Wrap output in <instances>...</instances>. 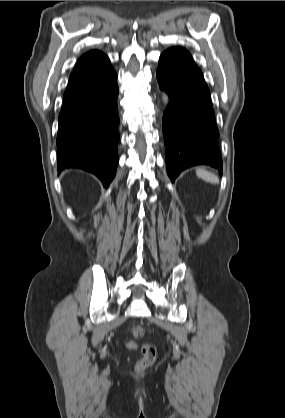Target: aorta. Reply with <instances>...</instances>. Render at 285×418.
Listing matches in <instances>:
<instances>
[{
  "label": "aorta",
  "mask_w": 285,
  "mask_h": 418,
  "mask_svg": "<svg viewBox=\"0 0 285 418\" xmlns=\"http://www.w3.org/2000/svg\"><path fill=\"white\" fill-rule=\"evenodd\" d=\"M162 98H163V101H164L165 103H168V102H169L168 95H167L165 92H162Z\"/></svg>",
  "instance_id": "aorta-1"
}]
</instances>
